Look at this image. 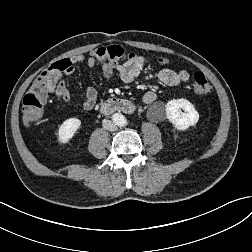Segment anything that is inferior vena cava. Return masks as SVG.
I'll return each instance as SVG.
<instances>
[{"label": "inferior vena cava", "instance_id": "inferior-vena-cava-1", "mask_svg": "<svg viewBox=\"0 0 252 252\" xmlns=\"http://www.w3.org/2000/svg\"><path fill=\"white\" fill-rule=\"evenodd\" d=\"M103 128L109 131H115L117 129V126L114 122L111 120L104 119L102 121Z\"/></svg>", "mask_w": 252, "mask_h": 252}]
</instances>
